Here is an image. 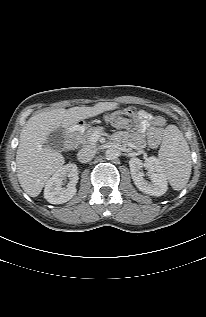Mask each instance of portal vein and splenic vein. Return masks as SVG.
Listing matches in <instances>:
<instances>
[{
  "mask_svg": "<svg viewBox=\"0 0 206 317\" xmlns=\"http://www.w3.org/2000/svg\"><path fill=\"white\" fill-rule=\"evenodd\" d=\"M92 140H93L94 142H96L97 136L93 137Z\"/></svg>",
  "mask_w": 206,
  "mask_h": 317,
  "instance_id": "18ae733b",
  "label": "portal vein and splenic vein"
}]
</instances>
